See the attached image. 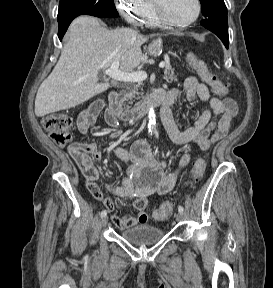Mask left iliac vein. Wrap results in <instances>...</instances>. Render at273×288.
I'll return each mask as SVG.
<instances>
[{"instance_id": "4c4485c4", "label": "left iliac vein", "mask_w": 273, "mask_h": 288, "mask_svg": "<svg viewBox=\"0 0 273 288\" xmlns=\"http://www.w3.org/2000/svg\"><path fill=\"white\" fill-rule=\"evenodd\" d=\"M175 219L176 221H182L183 219V213L182 212H178L176 215H175Z\"/></svg>"}]
</instances>
